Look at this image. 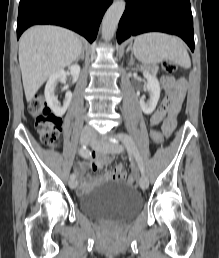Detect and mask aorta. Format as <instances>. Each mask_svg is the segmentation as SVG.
I'll list each match as a JSON object with an SVG mask.
<instances>
[{
  "mask_svg": "<svg viewBox=\"0 0 219 258\" xmlns=\"http://www.w3.org/2000/svg\"><path fill=\"white\" fill-rule=\"evenodd\" d=\"M125 7V0H116L106 11L102 21V38L105 41L113 38Z\"/></svg>",
  "mask_w": 219,
  "mask_h": 258,
  "instance_id": "1",
  "label": "aorta"
}]
</instances>
